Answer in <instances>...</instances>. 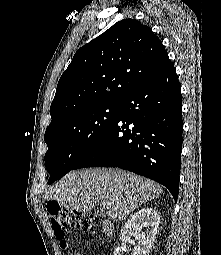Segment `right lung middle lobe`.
Returning <instances> with one entry per match:
<instances>
[{"instance_id":"right-lung-middle-lobe-1","label":"right lung middle lobe","mask_w":221,"mask_h":255,"mask_svg":"<svg viewBox=\"0 0 221 255\" xmlns=\"http://www.w3.org/2000/svg\"><path fill=\"white\" fill-rule=\"evenodd\" d=\"M119 108V103L87 107L46 130L48 184L74 169L114 122Z\"/></svg>"}]
</instances>
